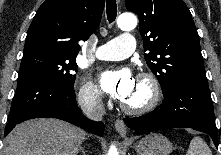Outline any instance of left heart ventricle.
I'll return each instance as SVG.
<instances>
[{
  "label": "left heart ventricle",
  "instance_id": "obj_1",
  "mask_svg": "<svg viewBox=\"0 0 221 155\" xmlns=\"http://www.w3.org/2000/svg\"><path fill=\"white\" fill-rule=\"evenodd\" d=\"M148 96L149 88L147 84L137 79L131 94L123 102L131 106H138L143 104L148 99Z\"/></svg>",
  "mask_w": 221,
  "mask_h": 155
}]
</instances>
